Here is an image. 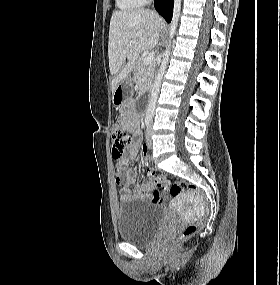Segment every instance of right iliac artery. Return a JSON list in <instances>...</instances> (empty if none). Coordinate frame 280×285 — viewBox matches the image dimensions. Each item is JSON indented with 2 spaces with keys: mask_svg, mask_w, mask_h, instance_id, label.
<instances>
[{
  "mask_svg": "<svg viewBox=\"0 0 280 285\" xmlns=\"http://www.w3.org/2000/svg\"><path fill=\"white\" fill-rule=\"evenodd\" d=\"M151 122V117H146L145 118V126L148 127L150 125Z\"/></svg>",
  "mask_w": 280,
  "mask_h": 285,
  "instance_id": "1",
  "label": "right iliac artery"
}]
</instances>
